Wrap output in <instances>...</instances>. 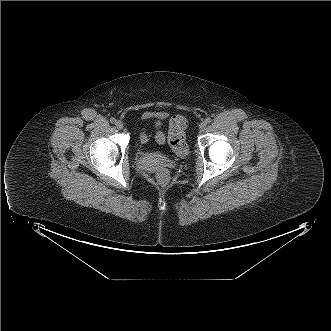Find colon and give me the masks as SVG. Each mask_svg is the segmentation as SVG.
<instances>
[{"label":"colon","instance_id":"5ec220e1","mask_svg":"<svg viewBox=\"0 0 331 331\" xmlns=\"http://www.w3.org/2000/svg\"><path fill=\"white\" fill-rule=\"evenodd\" d=\"M187 121L183 116L177 115L171 118L168 129V143L178 155H184L187 151L185 130ZM157 140H164L162 135L157 136ZM170 174L167 170L161 169L156 173V181L161 185H167L170 182Z\"/></svg>","mask_w":331,"mask_h":331}]
</instances>
